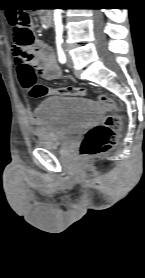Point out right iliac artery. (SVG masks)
Wrapping results in <instances>:
<instances>
[{
	"mask_svg": "<svg viewBox=\"0 0 145 278\" xmlns=\"http://www.w3.org/2000/svg\"><path fill=\"white\" fill-rule=\"evenodd\" d=\"M62 42H63V40L61 38L56 39L59 61L61 63H65L66 62V56H65V54H64V52L61 48V43Z\"/></svg>",
	"mask_w": 145,
	"mask_h": 278,
	"instance_id": "82829eb1",
	"label": "right iliac artery"
}]
</instances>
